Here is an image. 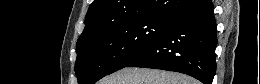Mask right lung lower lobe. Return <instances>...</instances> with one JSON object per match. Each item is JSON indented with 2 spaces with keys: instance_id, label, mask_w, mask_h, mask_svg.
<instances>
[{
  "instance_id": "right-lung-lower-lobe-1",
  "label": "right lung lower lobe",
  "mask_w": 260,
  "mask_h": 84,
  "mask_svg": "<svg viewBox=\"0 0 260 84\" xmlns=\"http://www.w3.org/2000/svg\"><path fill=\"white\" fill-rule=\"evenodd\" d=\"M216 46L213 4L200 0L174 16L153 44L126 67L181 72L212 84Z\"/></svg>"
}]
</instances>
